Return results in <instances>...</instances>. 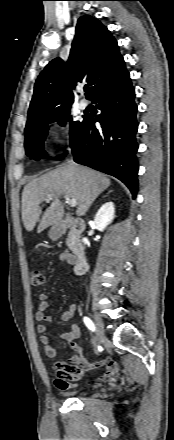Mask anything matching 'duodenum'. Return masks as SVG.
<instances>
[{"instance_id": "410a0bca", "label": "duodenum", "mask_w": 174, "mask_h": 440, "mask_svg": "<svg viewBox=\"0 0 174 440\" xmlns=\"http://www.w3.org/2000/svg\"><path fill=\"white\" fill-rule=\"evenodd\" d=\"M84 229L85 223L80 219L64 220L55 228V232L58 234V236H62L67 231H70L74 238L72 252L75 258V272L78 275H83L87 271L85 248L83 244L78 240V236L84 231Z\"/></svg>"}]
</instances>
